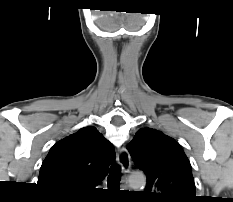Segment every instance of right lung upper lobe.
I'll return each instance as SVG.
<instances>
[{
	"instance_id": "1",
	"label": "right lung upper lobe",
	"mask_w": 233,
	"mask_h": 202,
	"mask_svg": "<svg viewBox=\"0 0 233 202\" xmlns=\"http://www.w3.org/2000/svg\"><path fill=\"white\" fill-rule=\"evenodd\" d=\"M113 145L88 126L57 142L42 163L38 184L57 196H84L107 175Z\"/></svg>"
}]
</instances>
